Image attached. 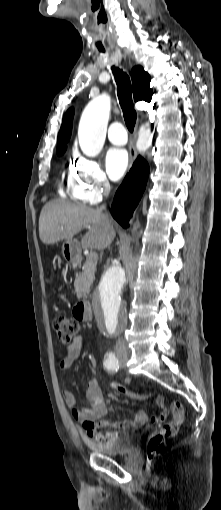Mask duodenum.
<instances>
[{"instance_id":"1","label":"duodenum","mask_w":221,"mask_h":510,"mask_svg":"<svg viewBox=\"0 0 221 510\" xmlns=\"http://www.w3.org/2000/svg\"><path fill=\"white\" fill-rule=\"evenodd\" d=\"M75 311H76L77 315H78L81 319H83L84 321H89V320H91V318H92L90 305H89V303H88V302H86V301L79 302V303L76 305Z\"/></svg>"}]
</instances>
